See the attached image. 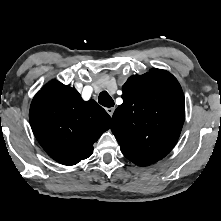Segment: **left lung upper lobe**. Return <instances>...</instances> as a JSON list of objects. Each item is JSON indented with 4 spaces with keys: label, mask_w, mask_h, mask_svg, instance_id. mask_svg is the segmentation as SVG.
I'll use <instances>...</instances> for the list:
<instances>
[{
    "label": "left lung upper lobe",
    "mask_w": 221,
    "mask_h": 221,
    "mask_svg": "<svg viewBox=\"0 0 221 221\" xmlns=\"http://www.w3.org/2000/svg\"><path fill=\"white\" fill-rule=\"evenodd\" d=\"M123 104L114 112L111 130L122 153L142 166L165 157L176 144L185 117V100L177 79L151 69L133 75L122 87Z\"/></svg>",
    "instance_id": "obj_1"
}]
</instances>
